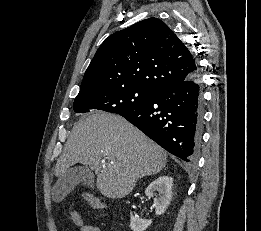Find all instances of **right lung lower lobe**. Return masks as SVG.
Returning <instances> with one entry per match:
<instances>
[{
  "mask_svg": "<svg viewBox=\"0 0 261 231\" xmlns=\"http://www.w3.org/2000/svg\"><path fill=\"white\" fill-rule=\"evenodd\" d=\"M121 116L171 154L186 162H195L202 129L198 72L162 88L147 104Z\"/></svg>",
  "mask_w": 261,
  "mask_h": 231,
  "instance_id": "obj_1",
  "label": "right lung lower lobe"
}]
</instances>
